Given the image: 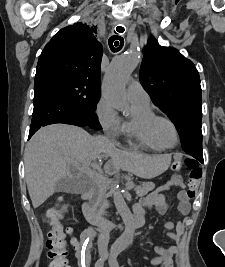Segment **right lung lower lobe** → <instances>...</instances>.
Masks as SVG:
<instances>
[{"label": "right lung lower lobe", "mask_w": 225, "mask_h": 267, "mask_svg": "<svg viewBox=\"0 0 225 267\" xmlns=\"http://www.w3.org/2000/svg\"><path fill=\"white\" fill-rule=\"evenodd\" d=\"M33 104L28 140L40 127L50 124L88 126L84 117L69 104L59 90L42 79H35Z\"/></svg>", "instance_id": "obj_1"}]
</instances>
